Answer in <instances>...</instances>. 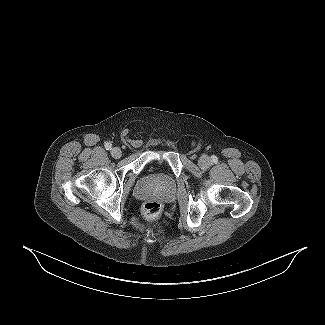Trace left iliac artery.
Instances as JSON below:
<instances>
[{"label":"left iliac artery","mask_w":325,"mask_h":325,"mask_svg":"<svg viewBox=\"0 0 325 325\" xmlns=\"http://www.w3.org/2000/svg\"><path fill=\"white\" fill-rule=\"evenodd\" d=\"M211 158H212L213 162H217V157L216 156L213 155Z\"/></svg>","instance_id":"left-iliac-artery-1"}]
</instances>
